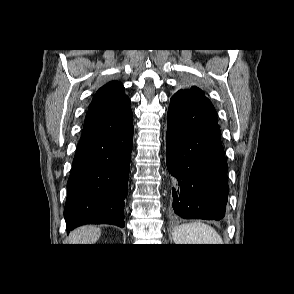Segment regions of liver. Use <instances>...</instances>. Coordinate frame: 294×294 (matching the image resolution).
Segmentation results:
<instances>
[{
	"label": "liver",
	"mask_w": 294,
	"mask_h": 294,
	"mask_svg": "<svg viewBox=\"0 0 294 294\" xmlns=\"http://www.w3.org/2000/svg\"><path fill=\"white\" fill-rule=\"evenodd\" d=\"M101 236L99 227L85 225L72 231L69 235L70 244H94Z\"/></svg>",
	"instance_id": "liver-1"
}]
</instances>
